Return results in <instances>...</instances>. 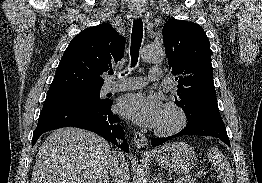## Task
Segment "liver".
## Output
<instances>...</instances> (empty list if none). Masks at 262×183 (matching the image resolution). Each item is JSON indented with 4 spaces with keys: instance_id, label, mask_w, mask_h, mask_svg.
<instances>
[{
    "instance_id": "obj_1",
    "label": "liver",
    "mask_w": 262,
    "mask_h": 183,
    "mask_svg": "<svg viewBox=\"0 0 262 183\" xmlns=\"http://www.w3.org/2000/svg\"><path fill=\"white\" fill-rule=\"evenodd\" d=\"M108 142L90 131L55 130L40 146L30 183H109Z\"/></svg>"
}]
</instances>
